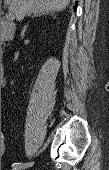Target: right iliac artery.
I'll use <instances>...</instances> for the list:
<instances>
[{
  "label": "right iliac artery",
  "mask_w": 109,
  "mask_h": 170,
  "mask_svg": "<svg viewBox=\"0 0 109 170\" xmlns=\"http://www.w3.org/2000/svg\"><path fill=\"white\" fill-rule=\"evenodd\" d=\"M32 165H33V162H30V163H13L12 167H13V170H17L18 168H26V167H29V166H32Z\"/></svg>",
  "instance_id": "1"
}]
</instances>
